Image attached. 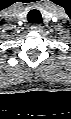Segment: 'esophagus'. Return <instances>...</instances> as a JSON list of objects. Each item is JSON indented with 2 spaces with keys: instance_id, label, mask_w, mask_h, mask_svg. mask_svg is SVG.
I'll return each instance as SVG.
<instances>
[{
  "instance_id": "obj_1",
  "label": "esophagus",
  "mask_w": 71,
  "mask_h": 119,
  "mask_svg": "<svg viewBox=\"0 0 71 119\" xmlns=\"http://www.w3.org/2000/svg\"><path fill=\"white\" fill-rule=\"evenodd\" d=\"M31 29L36 32H41L42 31V26L39 23H34L31 26Z\"/></svg>"
}]
</instances>
